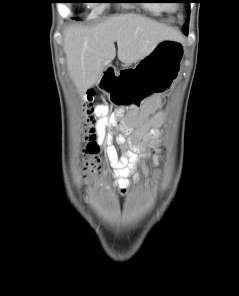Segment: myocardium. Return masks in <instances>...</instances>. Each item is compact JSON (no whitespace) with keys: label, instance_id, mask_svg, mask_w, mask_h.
Returning a JSON list of instances; mask_svg holds the SVG:
<instances>
[{"label":"myocardium","instance_id":"myocardium-1","mask_svg":"<svg viewBox=\"0 0 239 296\" xmlns=\"http://www.w3.org/2000/svg\"><path fill=\"white\" fill-rule=\"evenodd\" d=\"M163 6L165 9L170 10V11L176 9V5H173V4H164Z\"/></svg>","mask_w":239,"mask_h":296}]
</instances>
